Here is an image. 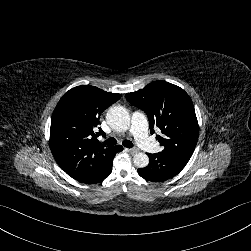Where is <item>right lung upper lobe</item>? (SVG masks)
<instances>
[{"label":"right lung upper lobe","mask_w":251,"mask_h":251,"mask_svg":"<svg viewBox=\"0 0 251 251\" xmlns=\"http://www.w3.org/2000/svg\"><path fill=\"white\" fill-rule=\"evenodd\" d=\"M121 97L97 87L82 85L67 91L51 118L50 147L57 164L72 178L89 182L113 159L115 146L96 140L101 113Z\"/></svg>","instance_id":"1"}]
</instances>
